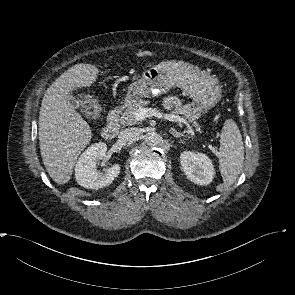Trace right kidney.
<instances>
[{"instance_id": "obj_1", "label": "right kidney", "mask_w": 295, "mask_h": 295, "mask_svg": "<svg viewBox=\"0 0 295 295\" xmlns=\"http://www.w3.org/2000/svg\"><path fill=\"white\" fill-rule=\"evenodd\" d=\"M107 151V145L103 142L95 143L82 153L75 166V177L79 185L100 189L110 185L120 173V165L115 164L100 173L96 170V159H102Z\"/></svg>"}]
</instances>
